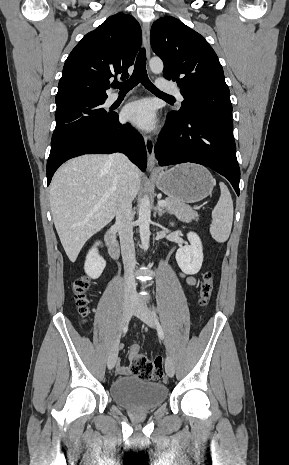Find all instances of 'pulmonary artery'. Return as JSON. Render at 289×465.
I'll return each mask as SVG.
<instances>
[{"label":"pulmonary artery","instance_id":"obj_1","mask_svg":"<svg viewBox=\"0 0 289 465\" xmlns=\"http://www.w3.org/2000/svg\"><path fill=\"white\" fill-rule=\"evenodd\" d=\"M156 85H157V88L160 91L168 92V93L176 95L180 102H182L184 100L183 96L178 91V89L174 85L168 83L165 79H163V78L157 79ZM130 93L131 92H128L127 94H130ZM119 97H120V95L118 93H113V94H111L109 96L108 102L109 103H114Z\"/></svg>","mask_w":289,"mask_h":465}]
</instances>
